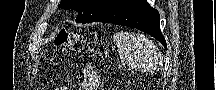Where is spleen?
Listing matches in <instances>:
<instances>
[{"mask_svg":"<svg viewBox=\"0 0 216 90\" xmlns=\"http://www.w3.org/2000/svg\"><path fill=\"white\" fill-rule=\"evenodd\" d=\"M114 42L122 62L127 64L129 70L150 72L160 62V54L154 44L142 34L119 32L116 34Z\"/></svg>","mask_w":216,"mask_h":90,"instance_id":"obj_1","label":"spleen"}]
</instances>
